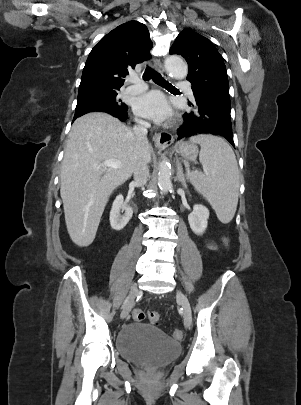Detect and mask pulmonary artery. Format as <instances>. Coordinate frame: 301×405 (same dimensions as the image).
<instances>
[{
	"label": "pulmonary artery",
	"mask_w": 301,
	"mask_h": 405,
	"mask_svg": "<svg viewBox=\"0 0 301 405\" xmlns=\"http://www.w3.org/2000/svg\"><path fill=\"white\" fill-rule=\"evenodd\" d=\"M130 83H131V85L128 86L126 89V92L128 94H132V95L140 94L147 89V85L145 83L141 82L136 77L130 78ZM178 87L185 90L190 96H193L192 89L187 82L178 83Z\"/></svg>",
	"instance_id": "1"
}]
</instances>
